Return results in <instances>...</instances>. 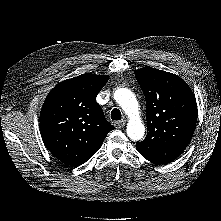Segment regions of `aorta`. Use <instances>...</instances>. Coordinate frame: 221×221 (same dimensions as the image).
Returning <instances> with one entry per match:
<instances>
[{"label": "aorta", "instance_id": "762f6f07", "mask_svg": "<svg viewBox=\"0 0 221 221\" xmlns=\"http://www.w3.org/2000/svg\"><path fill=\"white\" fill-rule=\"evenodd\" d=\"M115 100L129 117L127 135L132 140H140L145 133V127L139 116V104L135 95L127 88L118 89Z\"/></svg>", "mask_w": 221, "mask_h": 221}]
</instances>
